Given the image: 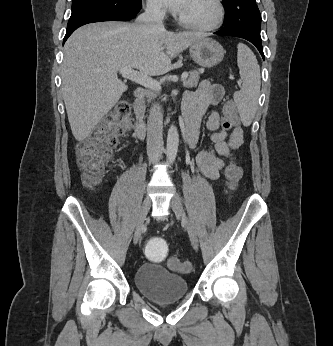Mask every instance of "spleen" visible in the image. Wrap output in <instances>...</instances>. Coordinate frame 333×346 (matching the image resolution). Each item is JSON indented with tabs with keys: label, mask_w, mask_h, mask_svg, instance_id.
<instances>
[{
	"label": "spleen",
	"mask_w": 333,
	"mask_h": 346,
	"mask_svg": "<svg viewBox=\"0 0 333 346\" xmlns=\"http://www.w3.org/2000/svg\"><path fill=\"white\" fill-rule=\"evenodd\" d=\"M237 64L243 85L234 94V101L244 125H250L257 107L260 95V67L254 53L243 43L237 45Z\"/></svg>",
	"instance_id": "1"
}]
</instances>
